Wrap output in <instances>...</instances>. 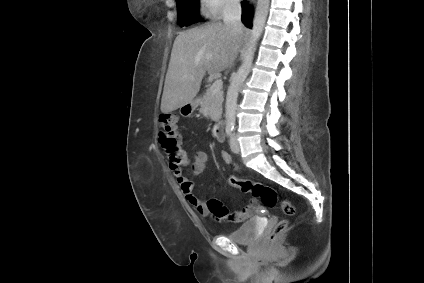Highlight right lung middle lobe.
<instances>
[{"mask_svg": "<svg viewBox=\"0 0 424 283\" xmlns=\"http://www.w3.org/2000/svg\"><path fill=\"white\" fill-rule=\"evenodd\" d=\"M178 23L181 27L199 21V0H176Z\"/></svg>", "mask_w": 424, "mask_h": 283, "instance_id": "obj_1", "label": "right lung middle lobe"}]
</instances>
